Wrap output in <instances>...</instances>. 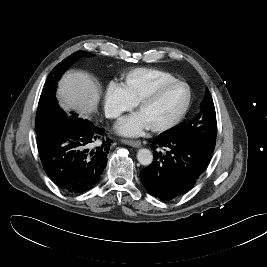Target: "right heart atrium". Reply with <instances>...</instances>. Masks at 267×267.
I'll use <instances>...</instances> for the list:
<instances>
[{
    "label": "right heart atrium",
    "mask_w": 267,
    "mask_h": 267,
    "mask_svg": "<svg viewBox=\"0 0 267 267\" xmlns=\"http://www.w3.org/2000/svg\"><path fill=\"white\" fill-rule=\"evenodd\" d=\"M134 106L122 84L112 82L108 85L104 95V112L108 118L117 119Z\"/></svg>",
    "instance_id": "d8ad5b80"
}]
</instances>
